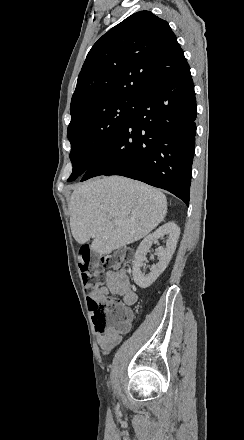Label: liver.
Masks as SVG:
<instances>
[{"label":"liver","instance_id":"liver-1","mask_svg":"<svg viewBox=\"0 0 244 440\" xmlns=\"http://www.w3.org/2000/svg\"><path fill=\"white\" fill-rule=\"evenodd\" d=\"M167 214V200L151 186L123 176H99L74 190L70 200V228L78 244L91 236L93 252L105 256L150 234ZM109 218L128 220L115 226Z\"/></svg>","mask_w":244,"mask_h":440}]
</instances>
